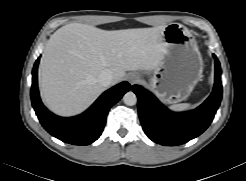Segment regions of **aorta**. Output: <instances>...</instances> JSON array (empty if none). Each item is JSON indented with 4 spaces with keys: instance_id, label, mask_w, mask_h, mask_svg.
I'll use <instances>...</instances> for the list:
<instances>
[{
    "instance_id": "762f6f07",
    "label": "aorta",
    "mask_w": 246,
    "mask_h": 181,
    "mask_svg": "<svg viewBox=\"0 0 246 181\" xmlns=\"http://www.w3.org/2000/svg\"><path fill=\"white\" fill-rule=\"evenodd\" d=\"M123 101L127 106H133L137 103V96L134 92L129 91L123 96Z\"/></svg>"
}]
</instances>
